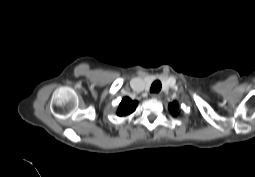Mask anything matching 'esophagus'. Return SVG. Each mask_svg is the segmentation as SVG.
<instances>
[{"label": "esophagus", "instance_id": "esophagus-1", "mask_svg": "<svg viewBox=\"0 0 255 177\" xmlns=\"http://www.w3.org/2000/svg\"><path fill=\"white\" fill-rule=\"evenodd\" d=\"M160 93H153L152 95H151V97L153 98V99H158V98H160Z\"/></svg>", "mask_w": 255, "mask_h": 177}]
</instances>
